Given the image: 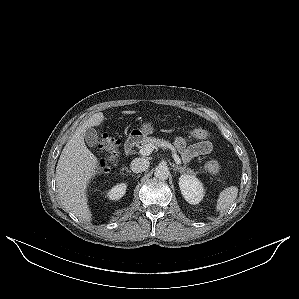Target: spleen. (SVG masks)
<instances>
[{"instance_id": "3e777b00", "label": "spleen", "mask_w": 299, "mask_h": 299, "mask_svg": "<svg viewBox=\"0 0 299 299\" xmlns=\"http://www.w3.org/2000/svg\"><path fill=\"white\" fill-rule=\"evenodd\" d=\"M238 195V188L235 186L227 187L219 194L216 211L223 213L229 209L232 203L235 201Z\"/></svg>"}]
</instances>
